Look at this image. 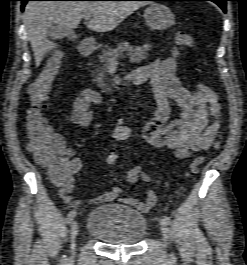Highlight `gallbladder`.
<instances>
[{"instance_id":"obj_1","label":"gallbladder","mask_w":247,"mask_h":265,"mask_svg":"<svg viewBox=\"0 0 247 265\" xmlns=\"http://www.w3.org/2000/svg\"><path fill=\"white\" fill-rule=\"evenodd\" d=\"M71 35L72 31L69 28L60 25H52L47 31V36L53 40H61Z\"/></svg>"}]
</instances>
